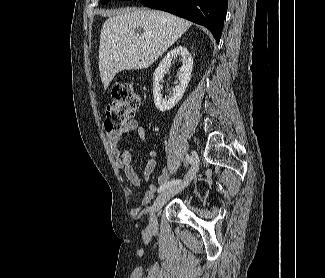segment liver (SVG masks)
<instances>
[{
	"mask_svg": "<svg viewBox=\"0 0 325 278\" xmlns=\"http://www.w3.org/2000/svg\"><path fill=\"white\" fill-rule=\"evenodd\" d=\"M104 14L109 18L100 34L99 71L105 90L120 71L151 66L192 25L170 13L149 9Z\"/></svg>",
	"mask_w": 325,
	"mask_h": 278,
	"instance_id": "1",
	"label": "liver"
}]
</instances>
